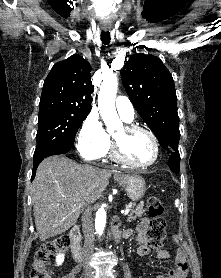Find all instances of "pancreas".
Returning <instances> with one entry per match:
<instances>
[{
	"mask_svg": "<svg viewBox=\"0 0 221 278\" xmlns=\"http://www.w3.org/2000/svg\"><path fill=\"white\" fill-rule=\"evenodd\" d=\"M144 212H145L144 205L143 204L138 205L136 209H132V212L129 215L127 221L131 222L132 220H136L137 218L141 217Z\"/></svg>",
	"mask_w": 221,
	"mask_h": 278,
	"instance_id": "pancreas-1",
	"label": "pancreas"
}]
</instances>
